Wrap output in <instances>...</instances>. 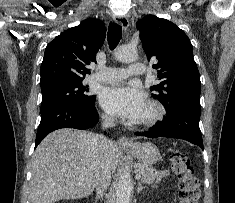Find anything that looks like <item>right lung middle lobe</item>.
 Listing matches in <instances>:
<instances>
[{"instance_id": "right-lung-middle-lobe-1", "label": "right lung middle lobe", "mask_w": 235, "mask_h": 203, "mask_svg": "<svg viewBox=\"0 0 235 203\" xmlns=\"http://www.w3.org/2000/svg\"><path fill=\"white\" fill-rule=\"evenodd\" d=\"M80 80L56 81L41 85L42 102L41 110L61 102L88 103L94 100V95H89V89Z\"/></svg>"}]
</instances>
